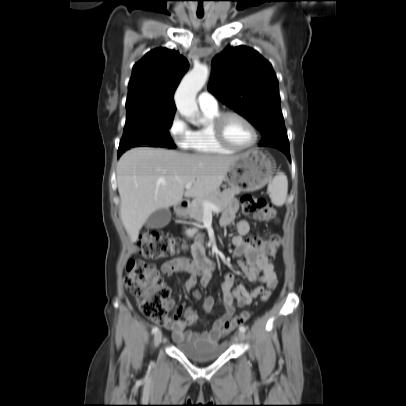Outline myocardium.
Segmentation results:
<instances>
[{
    "label": "myocardium",
    "instance_id": "1",
    "mask_svg": "<svg viewBox=\"0 0 406 406\" xmlns=\"http://www.w3.org/2000/svg\"><path fill=\"white\" fill-rule=\"evenodd\" d=\"M229 117H236L238 119H240L242 122H244L252 131L253 134V140L252 142L244 147H238L235 146L233 144H231L226 136H225V132H224V124L227 118ZM212 130H213V134L214 137L216 139V141L223 147L230 149L232 151H246L249 150L251 148H253L259 139V135H258V131L255 127V125L243 114L237 112V111H224L219 113L215 119L212 121Z\"/></svg>",
    "mask_w": 406,
    "mask_h": 406
}]
</instances>
